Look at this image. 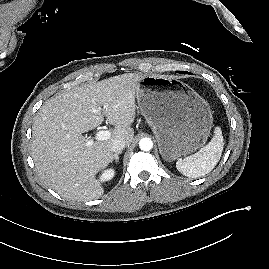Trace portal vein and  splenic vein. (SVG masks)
Wrapping results in <instances>:
<instances>
[{"label": "portal vein and splenic vein", "instance_id": "portal-vein-and-splenic-vein-1", "mask_svg": "<svg viewBox=\"0 0 269 269\" xmlns=\"http://www.w3.org/2000/svg\"><path fill=\"white\" fill-rule=\"evenodd\" d=\"M99 110H101V108H99ZM111 137V132L108 131V130H100L96 136H95V139L97 141H104V140H107ZM92 141V140H90Z\"/></svg>", "mask_w": 269, "mask_h": 269}]
</instances>
